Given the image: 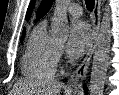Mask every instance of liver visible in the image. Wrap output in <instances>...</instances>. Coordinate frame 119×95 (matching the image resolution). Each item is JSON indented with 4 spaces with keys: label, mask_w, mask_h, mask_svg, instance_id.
<instances>
[{
    "label": "liver",
    "mask_w": 119,
    "mask_h": 95,
    "mask_svg": "<svg viewBox=\"0 0 119 95\" xmlns=\"http://www.w3.org/2000/svg\"><path fill=\"white\" fill-rule=\"evenodd\" d=\"M17 86L25 93H31L32 95H60L63 84L54 78H41L39 81L32 84L31 88L28 87V82H20Z\"/></svg>",
    "instance_id": "6515ba94"
}]
</instances>
